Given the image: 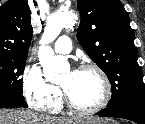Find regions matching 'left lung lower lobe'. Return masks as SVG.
Masks as SVG:
<instances>
[{"mask_svg": "<svg viewBox=\"0 0 145 124\" xmlns=\"http://www.w3.org/2000/svg\"><path fill=\"white\" fill-rule=\"evenodd\" d=\"M101 117H118L145 124V107L125 104L115 107H107L97 113Z\"/></svg>", "mask_w": 145, "mask_h": 124, "instance_id": "1", "label": "left lung lower lobe"}]
</instances>
